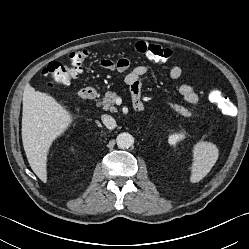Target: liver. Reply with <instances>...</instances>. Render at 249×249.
Returning a JSON list of instances; mask_svg holds the SVG:
<instances>
[{"label": "liver", "mask_w": 249, "mask_h": 249, "mask_svg": "<svg viewBox=\"0 0 249 249\" xmlns=\"http://www.w3.org/2000/svg\"><path fill=\"white\" fill-rule=\"evenodd\" d=\"M73 116L55 98L27 86L23 94L22 141L29 165L47 182V155L53 141L70 127Z\"/></svg>", "instance_id": "6515ba94"}]
</instances>
